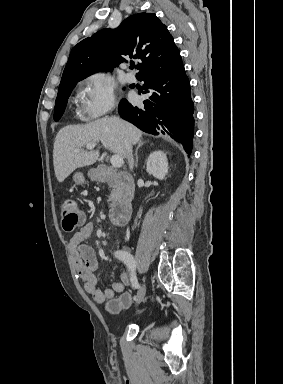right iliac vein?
Instances as JSON below:
<instances>
[{
	"mask_svg": "<svg viewBox=\"0 0 283 384\" xmlns=\"http://www.w3.org/2000/svg\"><path fill=\"white\" fill-rule=\"evenodd\" d=\"M145 290H146V287H145V284H143L137 296V303H140L143 300L145 296Z\"/></svg>",
	"mask_w": 283,
	"mask_h": 384,
	"instance_id": "right-iliac-vein-1",
	"label": "right iliac vein"
}]
</instances>
